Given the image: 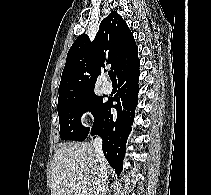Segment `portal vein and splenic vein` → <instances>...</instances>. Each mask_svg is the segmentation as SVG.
<instances>
[{"mask_svg":"<svg viewBox=\"0 0 211 195\" xmlns=\"http://www.w3.org/2000/svg\"><path fill=\"white\" fill-rule=\"evenodd\" d=\"M82 195H86V192H85V191H83V192H82Z\"/></svg>","mask_w":211,"mask_h":195,"instance_id":"18ae733b","label":"portal vein and splenic vein"}]
</instances>
